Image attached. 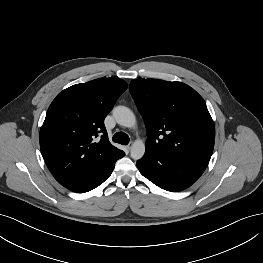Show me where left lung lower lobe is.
Listing matches in <instances>:
<instances>
[{"label": "left lung lower lobe", "instance_id": "1", "mask_svg": "<svg viewBox=\"0 0 263 263\" xmlns=\"http://www.w3.org/2000/svg\"><path fill=\"white\" fill-rule=\"evenodd\" d=\"M140 173L158 187L177 192L190 187L205 171V167L172 154L146 151L137 162Z\"/></svg>", "mask_w": 263, "mask_h": 263}]
</instances>
